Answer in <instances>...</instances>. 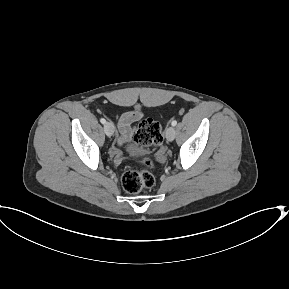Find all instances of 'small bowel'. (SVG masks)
I'll list each match as a JSON object with an SVG mask.
<instances>
[{
  "mask_svg": "<svg viewBox=\"0 0 289 289\" xmlns=\"http://www.w3.org/2000/svg\"><path fill=\"white\" fill-rule=\"evenodd\" d=\"M142 116V113L139 110H133L122 114L118 121L117 126L119 130V139L118 144L122 146L131 136L130 125L139 120Z\"/></svg>",
  "mask_w": 289,
  "mask_h": 289,
  "instance_id": "1",
  "label": "small bowel"
}]
</instances>
